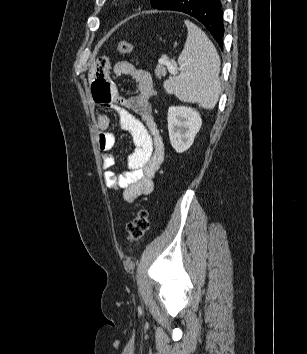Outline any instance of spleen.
<instances>
[{"mask_svg":"<svg viewBox=\"0 0 307 354\" xmlns=\"http://www.w3.org/2000/svg\"><path fill=\"white\" fill-rule=\"evenodd\" d=\"M188 35L178 57L180 75L165 81L164 88L183 102L198 103L211 110L221 92L220 57L206 34L190 21H185Z\"/></svg>","mask_w":307,"mask_h":354,"instance_id":"3e777b00","label":"spleen"}]
</instances>
